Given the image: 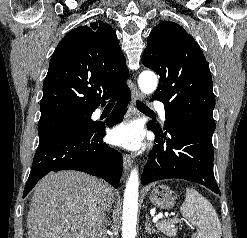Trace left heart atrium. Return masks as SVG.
<instances>
[{"label":"left heart atrium","instance_id":"1","mask_svg":"<svg viewBox=\"0 0 247 238\" xmlns=\"http://www.w3.org/2000/svg\"><path fill=\"white\" fill-rule=\"evenodd\" d=\"M110 142L128 149H136L141 145L142 133L134 123L115 126L109 134Z\"/></svg>","mask_w":247,"mask_h":238}]
</instances>
